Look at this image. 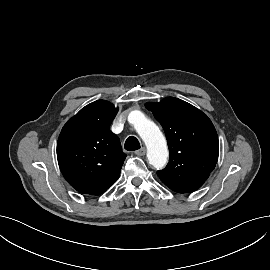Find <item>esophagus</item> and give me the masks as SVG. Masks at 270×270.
<instances>
[{"instance_id": "34e87169", "label": "esophagus", "mask_w": 270, "mask_h": 270, "mask_svg": "<svg viewBox=\"0 0 270 270\" xmlns=\"http://www.w3.org/2000/svg\"><path fill=\"white\" fill-rule=\"evenodd\" d=\"M135 154L137 156H144L146 154V148L145 147L140 148L139 150L135 151Z\"/></svg>"}]
</instances>
